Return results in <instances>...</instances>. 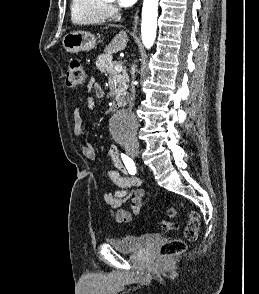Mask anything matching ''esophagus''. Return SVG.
Returning <instances> with one entry per match:
<instances>
[{
  "label": "esophagus",
  "instance_id": "obj_1",
  "mask_svg": "<svg viewBox=\"0 0 259 294\" xmlns=\"http://www.w3.org/2000/svg\"><path fill=\"white\" fill-rule=\"evenodd\" d=\"M138 11L139 10H137V12L135 13V16H134V22H133V24L136 26V24H137V22H138Z\"/></svg>",
  "mask_w": 259,
  "mask_h": 294
}]
</instances>
